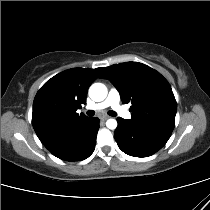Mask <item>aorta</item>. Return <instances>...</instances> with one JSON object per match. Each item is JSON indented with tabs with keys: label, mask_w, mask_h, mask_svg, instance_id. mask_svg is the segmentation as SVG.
<instances>
[{
	"label": "aorta",
	"mask_w": 210,
	"mask_h": 210,
	"mask_svg": "<svg viewBox=\"0 0 210 210\" xmlns=\"http://www.w3.org/2000/svg\"><path fill=\"white\" fill-rule=\"evenodd\" d=\"M107 87L102 83H94L89 88V96L93 101L100 102L107 97ZM107 128L114 130L117 127L115 119H108L106 122Z\"/></svg>",
	"instance_id": "1"
}]
</instances>
